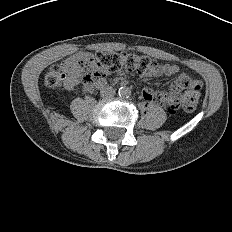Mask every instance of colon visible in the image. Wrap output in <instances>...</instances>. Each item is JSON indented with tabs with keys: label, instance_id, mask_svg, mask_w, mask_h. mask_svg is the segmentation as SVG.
<instances>
[{
	"label": "colon",
	"instance_id": "colon-1",
	"mask_svg": "<svg viewBox=\"0 0 232 232\" xmlns=\"http://www.w3.org/2000/svg\"><path fill=\"white\" fill-rule=\"evenodd\" d=\"M75 63L80 68H86L83 81L87 87L94 78L106 76L123 68L146 74L158 67V64L147 56L112 52H98L79 57L75 59ZM64 72V64L50 67L44 77L45 85L49 88H60L65 81ZM199 97L200 88L193 87L189 79L183 77L173 84L170 94H157L155 102L164 106L170 114H175L180 106L189 111L193 110Z\"/></svg>",
	"mask_w": 232,
	"mask_h": 232
}]
</instances>
